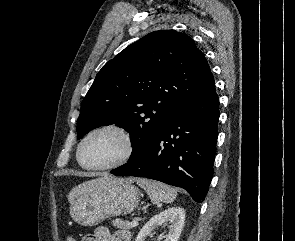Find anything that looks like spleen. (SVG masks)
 <instances>
[{
	"label": "spleen",
	"mask_w": 295,
	"mask_h": 241,
	"mask_svg": "<svg viewBox=\"0 0 295 241\" xmlns=\"http://www.w3.org/2000/svg\"><path fill=\"white\" fill-rule=\"evenodd\" d=\"M137 184L147 192L154 204L171 203L177 196V191L174 188L161 182L139 178Z\"/></svg>",
	"instance_id": "spleen-1"
}]
</instances>
